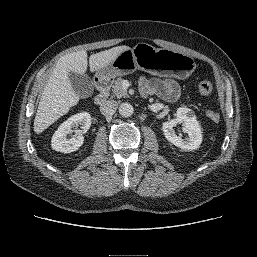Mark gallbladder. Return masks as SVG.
Instances as JSON below:
<instances>
[{"mask_svg":"<svg viewBox=\"0 0 257 257\" xmlns=\"http://www.w3.org/2000/svg\"><path fill=\"white\" fill-rule=\"evenodd\" d=\"M70 82L75 93L81 98H87L92 95L94 85L87 74H76L71 72L69 74Z\"/></svg>","mask_w":257,"mask_h":257,"instance_id":"1","label":"gallbladder"}]
</instances>
